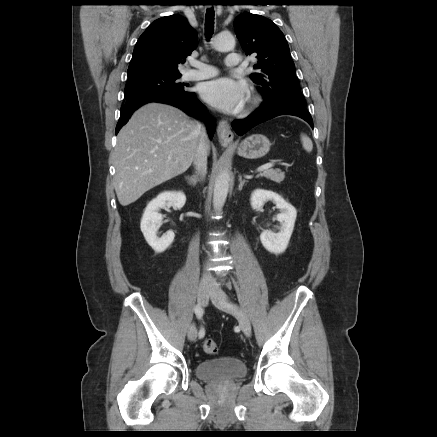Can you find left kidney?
Wrapping results in <instances>:
<instances>
[{"instance_id": "obj_1", "label": "left kidney", "mask_w": 437, "mask_h": 437, "mask_svg": "<svg viewBox=\"0 0 437 437\" xmlns=\"http://www.w3.org/2000/svg\"><path fill=\"white\" fill-rule=\"evenodd\" d=\"M267 201H272L276 208L280 210V213L276 216V220L280 222V227L278 233L264 230L260 235V240L266 250L274 254H280L288 246L294 229L297 211L291 204L273 191L256 189L252 192L250 204L253 209L260 210Z\"/></svg>"}]
</instances>
